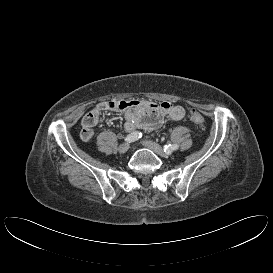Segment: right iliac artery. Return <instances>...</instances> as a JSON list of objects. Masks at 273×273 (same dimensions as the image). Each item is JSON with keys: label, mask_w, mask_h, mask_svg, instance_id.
Wrapping results in <instances>:
<instances>
[{"label": "right iliac artery", "mask_w": 273, "mask_h": 273, "mask_svg": "<svg viewBox=\"0 0 273 273\" xmlns=\"http://www.w3.org/2000/svg\"><path fill=\"white\" fill-rule=\"evenodd\" d=\"M141 137H142V133L138 132V131H135V132L127 135V137L125 138V141L128 142V143H131V142L137 141Z\"/></svg>", "instance_id": "obj_1"}]
</instances>
